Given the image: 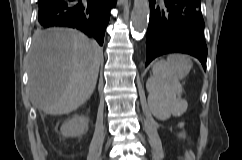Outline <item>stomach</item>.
Returning <instances> with one entry per match:
<instances>
[{"label": "stomach", "mask_w": 242, "mask_h": 160, "mask_svg": "<svg viewBox=\"0 0 242 160\" xmlns=\"http://www.w3.org/2000/svg\"><path fill=\"white\" fill-rule=\"evenodd\" d=\"M190 68H191V62L187 57H185L180 64V74L182 76H185L189 72Z\"/></svg>", "instance_id": "stomach-1"}]
</instances>
